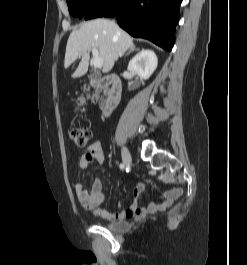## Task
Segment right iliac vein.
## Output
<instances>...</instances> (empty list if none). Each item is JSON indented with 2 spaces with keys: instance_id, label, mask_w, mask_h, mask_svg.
Returning a JSON list of instances; mask_svg holds the SVG:
<instances>
[{
  "instance_id": "obj_1",
  "label": "right iliac vein",
  "mask_w": 247,
  "mask_h": 265,
  "mask_svg": "<svg viewBox=\"0 0 247 265\" xmlns=\"http://www.w3.org/2000/svg\"><path fill=\"white\" fill-rule=\"evenodd\" d=\"M121 155H122L123 163L126 165H129L132 161V158H131V154L129 150L126 147L122 148Z\"/></svg>"
}]
</instances>
